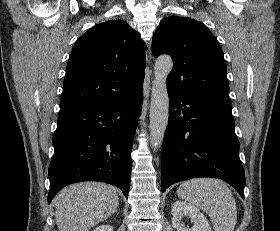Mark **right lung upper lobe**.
<instances>
[{
  "label": "right lung upper lobe",
  "mask_w": 280,
  "mask_h": 231,
  "mask_svg": "<svg viewBox=\"0 0 280 231\" xmlns=\"http://www.w3.org/2000/svg\"><path fill=\"white\" fill-rule=\"evenodd\" d=\"M143 46L139 33L120 19L89 29L72 49L59 115L123 98L142 88Z\"/></svg>",
  "instance_id": "right-lung-upper-lobe-1"
}]
</instances>
